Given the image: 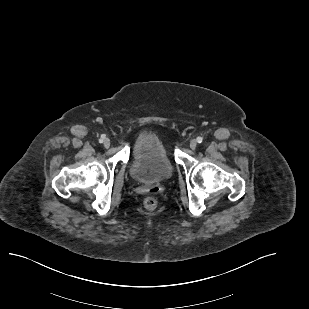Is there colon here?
Masks as SVG:
<instances>
[{"label": "colon", "instance_id": "1", "mask_svg": "<svg viewBox=\"0 0 309 309\" xmlns=\"http://www.w3.org/2000/svg\"><path fill=\"white\" fill-rule=\"evenodd\" d=\"M144 207L148 210H154L157 207V201L153 197L144 200Z\"/></svg>", "mask_w": 309, "mask_h": 309}]
</instances>
